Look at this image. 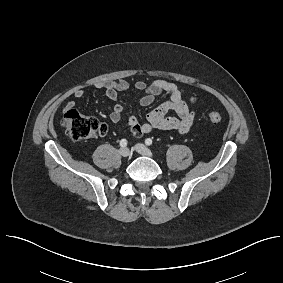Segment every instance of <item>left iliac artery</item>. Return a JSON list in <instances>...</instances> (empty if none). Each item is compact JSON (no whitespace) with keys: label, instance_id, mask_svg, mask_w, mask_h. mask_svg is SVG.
I'll list each match as a JSON object with an SVG mask.
<instances>
[{"label":"left iliac artery","instance_id":"obj_1","mask_svg":"<svg viewBox=\"0 0 283 283\" xmlns=\"http://www.w3.org/2000/svg\"><path fill=\"white\" fill-rule=\"evenodd\" d=\"M145 144L148 145V146L152 145V139L147 138V139L145 140Z\"/></svg>","mask_w":283,"mask_h":283}]
</instances>
